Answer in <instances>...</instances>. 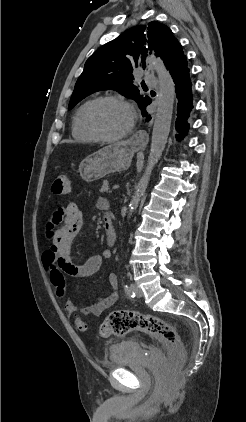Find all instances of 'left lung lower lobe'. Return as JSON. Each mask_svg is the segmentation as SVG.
<instances>
[{
    "label": "left lung lower lobe",
    "mask_w": 246,
    "mask_h": 422,
    "mask_svg": "<svg viewBox=\"0 0 246 422\" xmlns=\"http://www.w3.org/2000/svg\"><path fill=\"white\" fill-rule=\"evenodd\" d=\"M187 64V58L184 55L180 44L167 66V70L176 84L175 89L178 100L176 131L179 133L176 135L177 139H182L187 134L189 129L188 118L193 109L192 83L190 81ZM151 102L152 101H150L149 104ZM141 111L142 115L146 116L145 108ZM149 120H151V117L148 115L146 121Z\"/></svg>",
    "instance_id": "left-lung-lower-lobe-1"
}]
</instances>
